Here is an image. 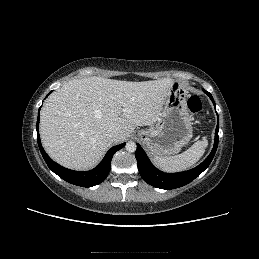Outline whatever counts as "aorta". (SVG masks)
<instances>
[{
  "label": "aorta",
  "mask_w": 259,
  "mask_h": 259,
  "mask_svg": "<svg viewBox=\"0 0 259 259\" xmlns=\"http://www.w3.org/2000/svg\"><path fill=\"white\" fill-rule=\"evenodd\" d=\"M125 148L128 152L132 153L136 151L137 145L133 141H129L126 143Z\"/></svg>",
  "instance_id": "1"
}]
</instances>
